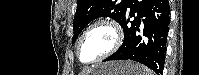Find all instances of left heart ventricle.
Wrapping results in <instances>:
<instances>
[{
    "mask_svg": "<svg viewBox=\"0 0 199 75\" xmlns=\"http://www.w3.org/2000/svg\"><path fill=\"white\" fill-rule=\"evenodd\" d=\"M113 43L112 32L105 27H97L89 32L84 38L81 48L80 57L84 62H90L104 52H106Z\"/></svg>",
    "mask_w": 199,
    "mask_h": 75,
    "instance_id": "b2bd125f",
    "label": "left heart ventricle"
}]
</instances>
